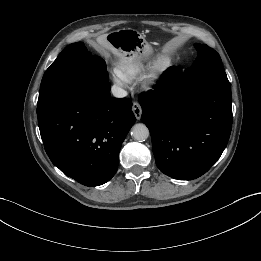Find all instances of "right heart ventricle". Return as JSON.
I'll use <instances>...</instances> for the list:
<instances>
[{"label":"right heart ventricle","mask_w":261,"mask_h":261,"mask_svg":"<svg viewBox=\"0 0 261 261\" xmlns=\"http://www.w3.org/2000/svg\"><path fill=\"white\" fill-rule=\"evenodd\" d=\"M143 70L144 66L141 63L131 60L120 61L116 67V72L126 82L137 79L142 74Z\"/></svg>","instance_id":"e07e8e85"}]
</instances>
